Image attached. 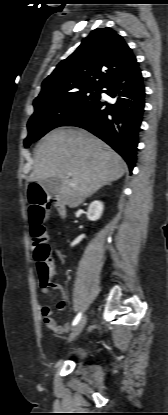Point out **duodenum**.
I'll return each mask as SVG.
<instances>
[{
	"mask_svg": "<svg viewBox=\"0 0 168 415\" xmlns=\"http://www.w3.org/2000/svg\"><path fill=\"white\" fill-rule=\"evenodd\" d=\"M56 207H57V211L60 217L65 218L67 214L65 206L59 201H56Z\"/></svg>",
	"mask_w": 168,
	"mask_h": 415,
	"instance_id": "obj_1",
	"label": "duodenum"
}]
</instances>
